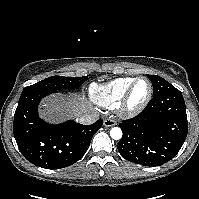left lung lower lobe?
Here are the masks:
<instances>
[{
  "label": "left lung lower lobe",
  "instance_id": "left-lung-lower-lobe-1",
  "mask_svg": "<svg viewBox=\"0 0 199 199\" xmlns=\"http://www.w3.org/2000/svg\"><path fill=\"white\" fill-rule=\"evenodd\" d=\"M121 156L144 166H159L181 149L188 132L184 98L179 90L153 97L136 117L119 123Z\"/></svg>",
  "mask_w": 199,
  "mask_h": 199
}]
</instances>
